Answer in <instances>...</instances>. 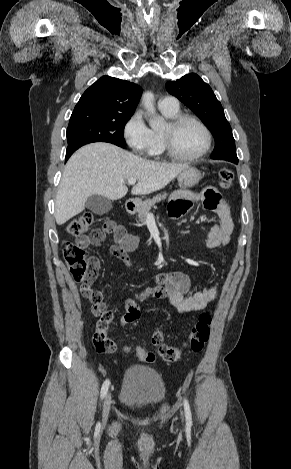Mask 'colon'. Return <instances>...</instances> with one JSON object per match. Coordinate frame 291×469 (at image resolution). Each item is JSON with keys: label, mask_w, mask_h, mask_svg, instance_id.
Returning <instances> with one entry per match:
<instances>
[{"label": "colon", "mask_w": 291, "mask_h": 469, "mask_svg": "<svg viewBox=\"0 0 291 469\" xmlns=\"http://www.w3.org/2000/svg\"><path fill=\"white\" fill-rule=\"evenodd\" d=\"M219 182L223 189H229L233 183V172L227 167H221L218 172ZM93 215L84 213L72 219L68 225V232L76 238L73 242H67L63 249L65 261L69 270L77 283L81 284L82 295L92 303V312L98 316L96 332L93 335V344L98 353H112L116 346L106 332L113 322V315L104 302L103 297L93 290L92 284L97 277V267L92 263L85 250L86 246L102 239L101 230H91ZM114 254L128 263V259L117 249L113 248ZM212 325L210 312L205 311L200 314L198 321L191 328L186 341L180 346H172L164 341L163 333L156 329L151 342L157 349L158 355L166 362H174L181 358L183 349L188 347L193 352H200L207 343ZM136 356L144 362L151 363L155 360V355L145 351L141 347L134 350Z\"/></svg>", "instance_id": "colon-1"}]
</instances>
